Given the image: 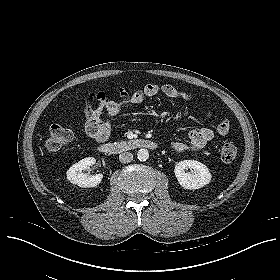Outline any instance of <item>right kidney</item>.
<instances>
[{"label":"right kidney","mask_w":280,"mask_h":280,"mask_svg":"<svg viewBox=\"0 0 280 280\" xmlns=\"http://www.w3.org/2000/svg\"><path fill=\"white\" fill-rule=\"evenodd\" d=\"M96 160L93 157H87L79 162L73 164L67 171V179L72 184L78 185L79 187L91 188L96 187L102 181L103 175H88L83 173V170L95 164Z\"/></svg>","instance_id":"right-kidney-1"}]
</instances>
